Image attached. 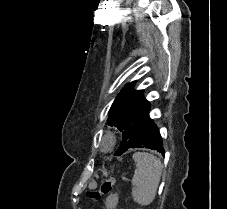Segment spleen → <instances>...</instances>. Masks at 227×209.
Returning a JSON list of instances; mask_svg holds the SVG:
<instances>
[{
    "label": "spleen",
    "mask_w": 227,
    "mask_h": 209,
    "mask_svg": "<svg viewBox=\"0 0 227 209\" xmlns=\"http://www.w3.org/2000/svg\"><path fill=\"white\" fill-rule=\"evenodd\" d=\"M136 169L132 179V197L138 205H150L154 201L160 183L161 161L150 153H134Z\"/></svg>",
    "instance_id": "obj_1"
}]
</instances>
